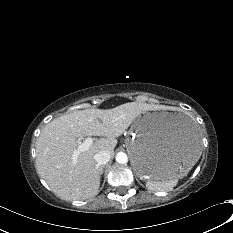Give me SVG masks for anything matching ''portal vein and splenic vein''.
Segmentation results:
<instances>
[{
  "instance_id": "portal-vein-and-splenic-vein-1",
  "label": "portal vein and splenic vein",
  "mask_w": 233,
  "mask_h": 233,
  "mask_svg": "<svg viewBox=\"0 0 233 233\" xmlns=\"http://www.w3.org/2000/svg\"><path fill=\"white\" fill-rule=\"evenodd\" d=\"M92 144H93V139L90 137L86 138L83 142H79L78 148L73 154V159L76 160L77 156L81 152L87 151Z\"/></svg>"
}]
</instances>
